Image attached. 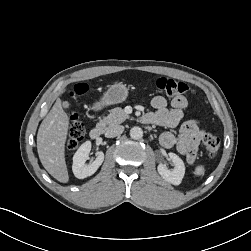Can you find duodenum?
<instances>
[{"mask_svg":"<svg viewBox=\"0 0 251 251\" xmlns=\"http://www.w3.org/2000/svg\"><path fill=\"white\" fill-rule=\"evenodd\" d=\"M141 121L144 124H151V119L147 115L143 116ZM102 133H103L102 127L96 125L90 130V137L92 139H98L102 135Z\"/></svg>","mask_w":251,"mask_h":251,"instance_id":"duodenum-1","label":"duodenum"}]
</instances>
